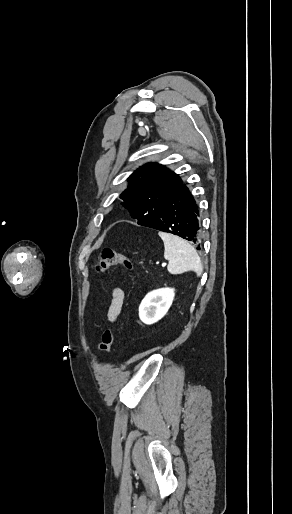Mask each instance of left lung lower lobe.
Masks as SVG:
<instances>
[{"label": "left lung lower lobe", "mask_w": 292, "mask_h": 514, "mask_svg": "<svg viewBox=\"0 0 292 514\" xmlns=\"http://www.w3.org/2000/svg\"><path fill=\"white\" fill-rule=\"evenodd\" d=\"M145 226L178 235L200 250L202 234L199 209L185 184L171 196L160 214Z\"/></svg>", "instance_id": "left-lung-lower-lobe-1"}]
</instances>
